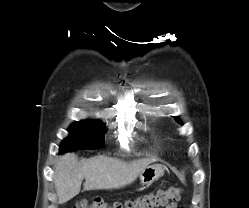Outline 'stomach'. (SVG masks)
Returning a JSON list of instances; mask_svg holds the SVG:
<instances>
[{
	"label": "stomach",
	"instance_id": "obj_1",
	"mask_svg": "<svg viewBox=\"0 0 249 208\" xmlns=\"http://www.w3.org/2000/svg\"><path fill=\"white\" fill-rule=\"evenodd\" d=\"M164 174V168L160 164L148 165L139 174L141 185L149 186Z\"/></svg>",
	"mask_w": 249,
	"mask_h": 208
}]
</instances>
